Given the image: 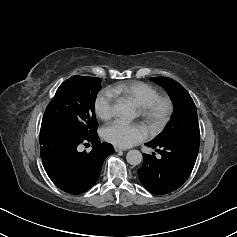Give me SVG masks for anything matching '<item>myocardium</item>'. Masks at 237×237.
Returning a JSON list of instances; mask_svg holds the SVG:
<instances>
[{
    "label": "myocardium",
    "mask_w": 237,
    "mask_h": 237,
    "mask_svg": "<svg viewBox=\"0 0 237 237\" xmlns=\"http://www.w3.org/2000/svg\"><path fill=\"white\" fill-rule=\"evenodd\" d=\"M139 112L145 122L156 131L162 128L174 112V104L167 96H157L139 107Z\"/></svg>",
    "instance_id": "f54148a6"
}]
</instances>
